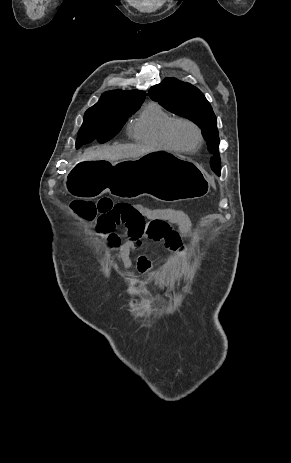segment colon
<instances>
[{
    "mask_svg": "<svg viewBox=\"0 0 291 463\" xmlns=\"http://www.w3.org/2000/svg\"><path fill=\"white\" fill-rule=\"evenodd\" d=\"M71 208L86 219L93 220L100 217L97 221L98 229H114L123 223L127 214L131 211V205L126 203H115L110 198L104 197L97 202L74 200Z\"/></svg>",
    "mask_w": 291,
    "mask_h": 463,
    "instance_id": "obj_1",
    "label": "colon"
}]
</instances>
